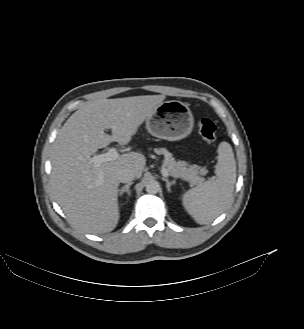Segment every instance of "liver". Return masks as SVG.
Here are the masks:
<instances>
[{
  "instance_id": "6515ba94",
  "label": "liver",
  "mask_w": 304,
  "mask_h": 329,
  "mask_svg": "<svg viewBox=\"0 0 304 329\" xmlns=\"http://www.w3.org/2000/svg\"><path fill=\"white\" fill-rule=\"evenodd\" d=\"M165 95H143L88 102L74 112L57 134L52 151L51 185L70 222L91 234L112 231L119 220L118 172L140 178L146 158L129 152L99 167L90 163L98 149L111 142L128 144ZM112 130V135L104 131Z\"/></svg>"
}]
</instances>
